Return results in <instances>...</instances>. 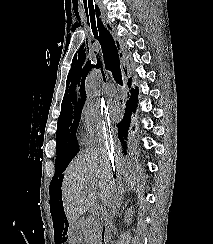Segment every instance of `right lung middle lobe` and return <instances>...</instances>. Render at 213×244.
Wrapping results in <instances>:
<instances>
[{"instance_id":"obj_1","label":"right lung middle lobe","mask_w":213,"mask_h":244,"mask_svg":"<svg viewBox=\"0 0 213 244\" xmlns=\"http://www.w3.org/2000/svg\"><path fill=\"white\" fill-rule=\"evenodd\" d=\"M82 108L77 107L61 112L59 116L56 132L57 157L55 161V175L51 183H57V171L65 170L72 158L79 152L76 130L80 121Z\"/></svg>"}]
</instances>
